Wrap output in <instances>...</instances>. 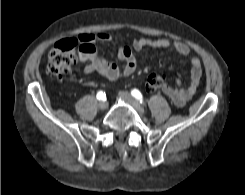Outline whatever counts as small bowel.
<instances>
[{
    "mask_svg": "<svg viewBox=\"0 0 245 195\" xmlns=\"http://www.w3.org/2000/svg\"><path fill=\"white\" fill-rule=\"evenodd\" d=\"M112 37L105 32L97 34L84 33L79 35L78 41L81 44L78 59L85 64L84 71L87 74L97 73L108 80H116L123 76L132 75L138 66L134 52L141 51L146 47L150 48H172L178 55L187 56L190 54L189 46L181 41H169L167 39L139 38L132 42L131 46L120 45L117 49V57L124 63L122 67L105 60L96 50L95 43L109 42ZM191 68L189 84L181 86L177 80V86L164 85L163 92L172 100L176 106H184L195 94L202 73V63L199 57L193 55L190 59Z\"/></svg>",
    "mask_w": 245,
    "mask_h": 195,
    "instance_id": "1",
    "label": "small bowel"
}]
</instances>
